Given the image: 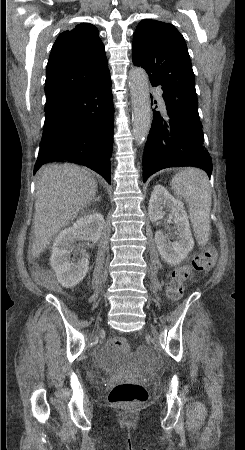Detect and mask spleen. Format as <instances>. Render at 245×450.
<instances>
[{
  "label": "spleen",
  "instance_id": "3e777b00",
  "mask_svg": "<svg viewBox=\"0 0 245 450\" xmlns=\"http://www.w3.org/2000/svg\"><path fill=\"white\" fill-rule=\"evenodd\" d=\"M177 197L189 208V216L196 240L205 245L211 229V190L206 173L197 168H188L177 173L171 182Z\"/></svg>",
  "mask_w": 245,
  "mask_h": 450
}]
</instances>
